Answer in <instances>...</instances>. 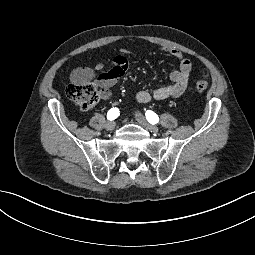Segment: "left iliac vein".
<instances>
[{"mask_svg": "<svg viewBox=\"0 0 255 255\" xmlns=\"http://www.w3.org/2000/svg\"><path fill=\"white\" fill-rule=\"evenodd\" d=\"M135 117H136V120L138 121V123L146 130L153 132V133H157L159 131L158 127L150 124L141 113L137 112L135 114Z\"/></svg>", "mask_w": 255, "mask_h": 255, "instance_id": "obj_1", "label": "left iliac vein"}]
</instances>
